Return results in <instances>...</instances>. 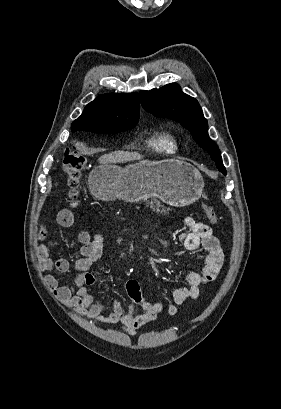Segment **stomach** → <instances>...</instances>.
<instances>
[{
    "mask_svg": "<svg viewBox=\"0 0 281 409\" xmlns=\"http://www.w3.org/2000/svg\"><path fill=\"white\" fill-rule=\"evenodd\" d=\"M88 186L98 200L121 198L138 202L157 196L172 207H187L199 200L204 180L196 166L178 160H138L129 166L99 164L88 176Z\"/></svg>",
    "mask_w": 281,
    "mask_h": 409,
    "instance_id": "1",
    "label": "stomach"
}]
</instances>
